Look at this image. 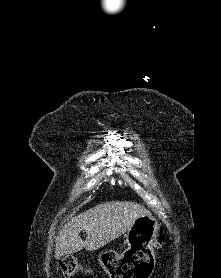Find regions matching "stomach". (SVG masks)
<instances>
[{
	"label": "stomach",
	"instance_id": "0dacf381",
	"mask_svg": "<svg viewBox=\"0 0 221 278\" xmlns=\"http://www.w3.org/2000/svg\"><path fill=\"white\" fill-rule=\"evenodd\" d=\"M159 224L151 215L138 217L126 234L127 251L99 254V263L110 278H149L155 272L153 244Z\"/></svg>",
	"mask_w": 221,
	"mask_h": 278
}]
</instances>
